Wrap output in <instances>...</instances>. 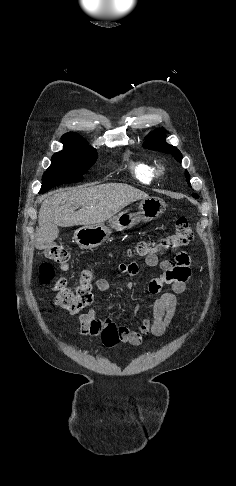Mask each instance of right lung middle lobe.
Masks as SVG:
<instances>
[{
  "mask_svg": "<svg viewBox=\"0 0 236 486\" xmlns=\"http://www.w3.org/2000/svg\"><path fill=\"white\" fill-rule=\"evenodd\" d=\"M62 143L64 149L52 156V163L44 174L40 193L64 183L81 181L97 159L96 150L86 144L69 141Z\"/></svg>",
  "mask_w": 236,
  "mask_h": 486,
  "instance_id": "dd1d6c3e",
  "label": "right lung middle lobe"
}]
</instances>
